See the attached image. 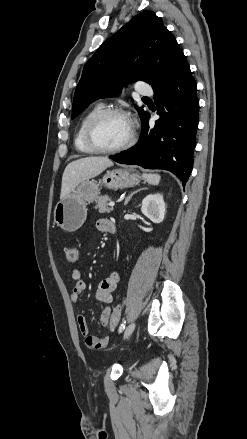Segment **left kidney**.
<instances>
[{"mask_svg":"<svg viewBox=\"0 0 247 439\" xmlns=\"http://www.w3.org/2000/svg\"><path fill=\"white\" fill-rule=\"evenodd\" d=\"M141 212L153 223H161L165 216V202L159 193L147 195L141 206Z\"/></svg>","mask_w":247,"mask_h":439,"instance_id":"obj_1","label":"left kidney"}]
</instances>
